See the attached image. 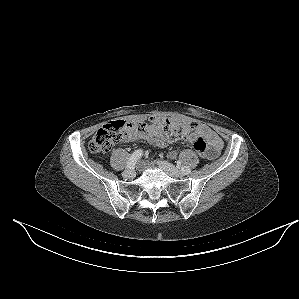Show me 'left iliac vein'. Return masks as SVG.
Wrapping results in <instances>:
<instances>
[{
	"mask_svg": "<svg viewBox=\"0 0 299 299\" xmlns=\"http://www.w3.org/2000/svg\"><path fill=\"white\" fill-rule=\"evenodd\" d=\"M158 166L171 177H181L183 173L166 161H157Z\"/></svg>",
	"mask_w": 299,
	"mask_h": 299,
	"instance_id": "4c4485c4",
	"label": "left iliac vein"
}]
</instances>
